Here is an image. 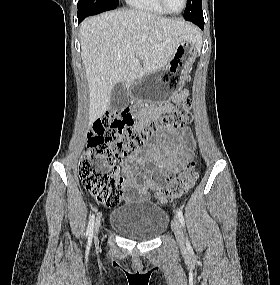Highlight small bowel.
I'll use <instances>...</instances> for the list:
<instances>
[{
	"instance_id": "c3829d8e",
	"label": "small bowel",
	"mask_w": 280,
	"mask_h": 285,
	"mask_svg": "<svg viewBox=\"0 0 280 285\" xmlns=\"http://www.w3.org/2000/svg\"><path fill=\"white\" fill-rule=\"evenodd\" d=\"M186 90L179 93L175 102L185 99ZM172 104L165 105L162 109H155L144 116L137 125L143 128L149 117L161 111H168ZM195 142L189 130L175 132L169 137L162 134L160 139L146 149L142 156H135L122 162V171L126 179L123 186L124 197L127 200L147 201L150 193L156 191L163 183L179 173L194 155ZM135 166L142 167L138 172Z\"/></svg>"
}]
</instances>
